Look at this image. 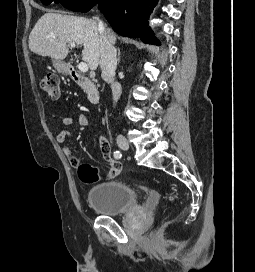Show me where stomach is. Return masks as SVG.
Instances as JSON below:
<instances>
[{
    "label": "stomach",
    "instance_id": "obj_1",
    "mask_svg": "<svg viewBox=\"0 0 255 272\" xmlns=\"http://www.w3.org/2000/svg\"><path fill=\"white\" fill-rule=\"evenodd\" d=\"M53 67L61 73L68 74L69 73V66L60 60H54L53 61Z\"/></svg>",
    "mask_w": 255,
    "mask_h": 272
}]
</instances>
